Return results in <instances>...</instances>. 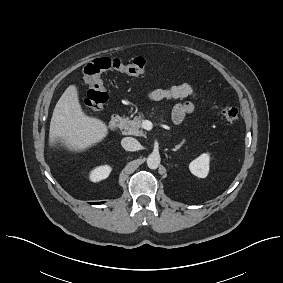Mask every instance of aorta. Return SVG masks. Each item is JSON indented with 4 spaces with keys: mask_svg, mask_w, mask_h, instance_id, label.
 <instances>
[{
    "mask_svg": "<svg viewBox=\"0 0 283 283\" xmlns=\"http://www.w3.org/2000/svg\"><path fill=\"white\" fill-rule=\"evenodd\" d=\"M161 158L158 153H151L147 158V166L150 169H157L160 164Z\"/></svg>",
    "mask_w": 283,
    "mask_h": 283,
    "instance_id": "obj_1",
    "label": "aorta"
}]
</instances>
